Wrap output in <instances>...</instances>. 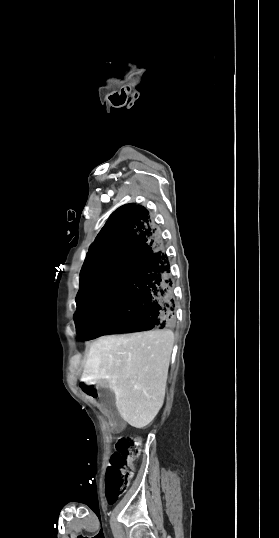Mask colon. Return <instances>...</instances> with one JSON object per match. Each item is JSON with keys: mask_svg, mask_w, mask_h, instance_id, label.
<instances>
[{"mask_svg": "<svg viewBox=\"0 0 279 538\" xmlns=\"http://www.w3.org/2000/svg\"><path fill=\"white\" fill-rule=\"evenodd\" d=\"M140 451L139 437H127L117 441L105 477V494L109 504H114L126 491L133 476L134 462L139 457Z\"/></svg>", "mask_w": 279, "mask_h": 538, "instance_id": "1", "label": "colon"}]
</instances>
